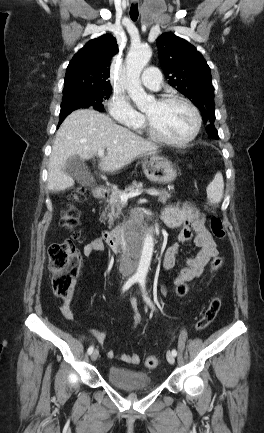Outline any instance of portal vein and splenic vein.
Returning <instances> with one entry per match:
<instances>
[{
	"label": "portal vein and splenic vein",
	"mask_w": 264,
	"mask_h": 433,
	"mask_svg": "<svg viewBox=\"0 0 264 433\" xmlns=\"http://www.w3.org/2000/svg\"><path fill=\"white\" fill-rule=\"evenodd\" d=\"M98 155H99V157L103 158L104 157V150L103 149L99 150ZM141 193H142V191H139V190H136V191L130 192V193H122V194H120V200L123 202H126L129 198L136 197V196L140 195ZM147 193L149 195H155L156 196V195H158L159 192L157 190H148Z\"/></svg>",
	"instance_id": "obj_1"
}]
</instances>
